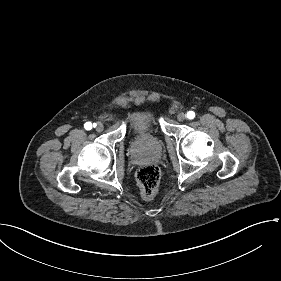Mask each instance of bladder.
Here are the masks:
<instances>
[{
	"label": "bladder",
	"mask_w": 281,
	"mask_h": 281,
	"mask_svg": "<svg viewBox=\"0 0 281 281\" xmlns=\"http://www.w3.org/2000/svg\"><path fill=\"white\" fill-rule=\"evenodd\" d=\"M134 139L145 132H156L161 134L160 122L155 109L152 106L142 105L131 109L126 121Z\"/></svg>",
	"instance_id": "1"
}]
</instances>
